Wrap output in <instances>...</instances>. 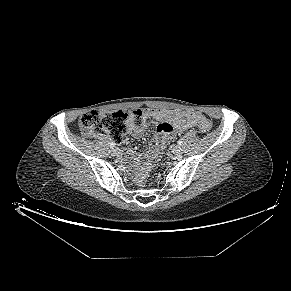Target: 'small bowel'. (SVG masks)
Here are the masks:
<instances>
[{"mask_svg":"<svg viewBox=\"0 0 291 291\" xmlns=\"http://www.w3.org/2000/svg\"><path fill=\"white\" fill-rule=\"evenodd\" d=\"M143 115L144 125L148 123L156 125L157 138L150 143L148 151L143 154L136 155L132 150L128 152L133 161L144 164L143 171L150 169L151 163L159 157L161 150L175 132H183L194 127L201 120V117L194 112L168 109H145ZM136 136H141V130L136 132Z\"/></svg>","mask_w":291,"mask_h":291,"instance_id":"c3829d8e","label":"small bowel"}]
</instances>
